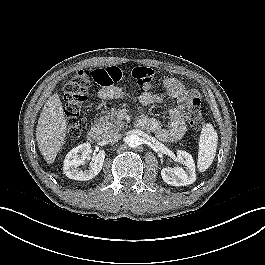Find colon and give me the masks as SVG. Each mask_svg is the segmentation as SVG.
<instances>
[{
	"instance_id": "5ec220e1",
	"label": "colon",
	"mask_w": 265,
	"mask_h": 265,
	"mask_svg": "<svg viewBox=\"0 0 265 265\" xmlns=\"http://www.w3.org/2000/svg\"><path fill=\"white\" fill-rule=\"evenodd\" d=\"M152 75L151 70L148 69ZM133 78L141 83L145 78L139 69L133 70ZM122 74L117 68L97 69L93 71L81 70L77 72L65 85L63 98L65 101V114L67 120V135L70 139H76L81 133L80 115L84 103L88 98V89L92 82L102 86H110L120 83ZM186 118L190 126L199 130L204 125L201 101L194 97L187 109Z\"/></svg>"
}]
</instances>
